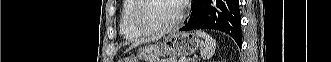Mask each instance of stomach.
Returning a JSON list of instances; mask_svg holds the SVG:
<instances>
[{
  "instance_id": "0dacf381",
  "label": "stomach",
  "mask_w": 331,
  "mask_h": 62,
  "mask_svg": "<svg viewBox=\"0 0 331 62\" xmlns=\"http://www.w3.org/2000/svg\"><path fill=\"white\" fill-rule=\"evenodd\" d=\"M201 46L198 36L188 32H173L166 36L162 43L148 44L141 47L138 57L141 62H157L159 56H187L196 52Z\"/></svg>"
}]
</instances>
